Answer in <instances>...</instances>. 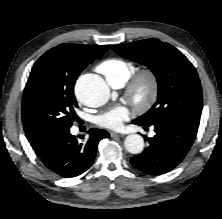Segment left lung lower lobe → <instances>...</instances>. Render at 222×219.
Instances as JSON below:
<instances>
[{"instance_id": "left-lung-lower-lobe-1", "label": "left lung lower lobe", "mask_w": 222, "mask_h": 219, "mask_svg": "<svg viewBox=\"0 0 222 219\" xmlns=\"http://www.w3.org/2000/svg\"><path fill=\"white\" fill-rule=\"evenodd\" d=\"M133 123L145 129L151 125L155 128L156 135L147 139V148L130 159L136 169L150 175H160L175 168L189 151L198 131V128L176 119L151 125L135 120Z\"/></svg>"}]
</instances>
